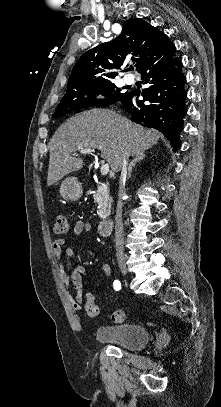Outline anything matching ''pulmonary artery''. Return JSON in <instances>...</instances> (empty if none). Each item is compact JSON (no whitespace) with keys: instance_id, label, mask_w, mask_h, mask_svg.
<instances>
[{"instance_id":"pulmonary-artery-1","label":"pulmonary artery","mask_w":221,"mask_h":407,"mask_svg":"<svg viewBox=\"0 0 221 407\" xmlns=\"http://www.w3.org/2000/svg\"><path fill=\"white\" fill-rule=\"evenodd\" d=\"M124 82H125V83H128V84H131V83L134 82V78H133L132 76H130V75H126V76L124 77Z\"/></svg>"}]
</instances>
